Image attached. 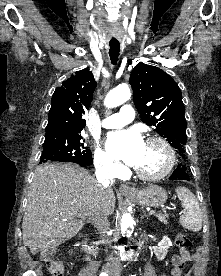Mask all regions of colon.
Returning a JSON list of instances; mask_svg holds the SVG:
<instances>
[{"label": "colon", "instance_id": "colon-1", "mask_svg": "<svg viewBox=\"0 0 221 276\" xmlns=\"http://www.w3.org/2000/svg\"><path fill=\"white\" fill-rule=\"evenodd\" d=\"M176 244L177 247L183 251H188L192 247L191 240L184 234H179L177 236ZM55 253L56 248L54 246H45L41 249V259L45 262L51 276H64V264L62 261L54 258Z\"/></svg>", "mask_w": 221, "mask_h": 276}]
</instances>
